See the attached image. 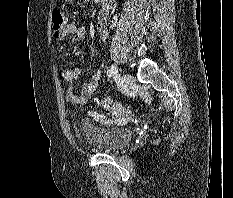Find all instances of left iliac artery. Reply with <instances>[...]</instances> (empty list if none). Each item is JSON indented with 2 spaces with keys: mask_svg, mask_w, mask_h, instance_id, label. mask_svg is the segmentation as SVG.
Instances as JSON below:
<instances>
[{
  "mask_svg": "<svg viewBox=\"0 0 233 198\" xmlns=\"http://www.w3.org/2000/svg\"><path fill=\"white\" fill-rule=\"evenodd\" d=\"M108 77H111L113 75H118V67L117 65L113 64L111 65L110 69L107 72Z\"/></svg>",
  "mask_w": 233,
  "mask_h": 198,
  "instance_id": "44dca946",
  "label": "left iliac artery"
}]
</instances>
